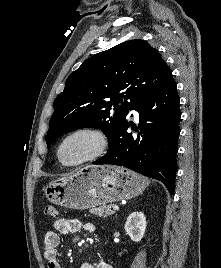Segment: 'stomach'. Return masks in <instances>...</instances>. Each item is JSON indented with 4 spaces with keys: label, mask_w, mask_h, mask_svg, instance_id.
Returning a JSON list of instances; mask_svg holds the SVG:
<instances>
[{
    "label": "stomach",
    "mask_w": 221,
    "mask_h": 268,
    "mask_svg": "<svg viewBox=\"0 0 221 268\" xmlns=\"http://www.w3.org/2000/svg\"><path fill=\"white\" fill-rule=\"evenodd\" d=\"M147 186L144 177L123 167L89 165L68 177L49 183L46 198L69 209L84 210L141 194Z\"/></svg>",
    "instance_id": "0dacf381"
}]
</instances>
